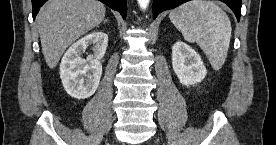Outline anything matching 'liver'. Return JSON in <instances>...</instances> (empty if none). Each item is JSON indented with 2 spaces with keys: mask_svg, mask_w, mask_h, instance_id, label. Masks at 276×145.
Listing matches in <instances>:
<instances>
[{
  "mask_svg": "<svg viewBox=\"0 0 276 145\" xmlns=\"http://www.w3.org/2000/svg\"><path fill=\"white\" fill-rule=\"evenodd\" d=\"M106 9L97 0H49L40 9L37 27L42 53L53 69L74 41L98 26Z\"/></svg>",
  "mask_w": 276,
  "mask_h": 145,
  "instance_id": "liver-1",
  "label": "liver"
}]
</instances>
